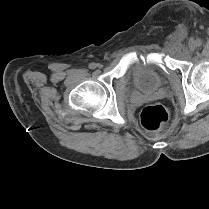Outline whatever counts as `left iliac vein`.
Here are the masks:
<instances>
[{
  "label": "left iliac vein",
  "instance_id": "left-iliac-vein-1",
  "mask_svg": "<svg viewBox=\"0 0 209 209\" xmlns=\"http://www.w3.org/2000/svg\"><path fill=\"white\" fill-rule=\"evenodd\" d=\"M195 42L194 41H191L190 43H189V48L191 49V50H194L195 49Z\"/></svg>",
  "mask_w": 209,
  "mask_h": 209
}]
</instances>
